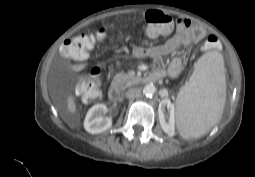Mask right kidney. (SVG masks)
Returning a JSON list of instances; mask_svg holds the SVG:
<instances>
[{
    "instance_id": "right-kidney-1",
    "label": "right kidney",
    "mask_w": 255,
    "mask_h": 177,
    "mask_svg": "<svg viewBox=\"0 0 255 177\" xmlns=\"http://www.w3.org/2000/svg\"><path fill=\"white\" fill-rule=\"evenodd\" d=\"M106 109L105 104H96L89 109L84 120V128L88 133L98 134L111 128L112 119L102 116Z\"/></svg>"
}]
</instances>
